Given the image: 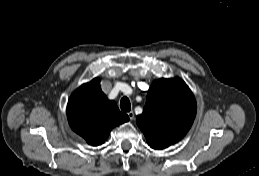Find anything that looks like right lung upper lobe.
<instances>
[{
	"label": "right lung upper lobe",
	"mask_w": 259,
	"mask_h": 176,
	"mask_svg": "<svg viewBox=\"0 0 259 176\" xmlns=\"http://www.w3.org/2000/svg\"><path fill=\"white\" fill-rule=\"evenodd\" d=\"M67 117L70 127L92 146L102 144L112 128L129 120L114 101L107 99L98 78L83 84L72 94Z\"/></svg>",
	"instance_id": "cb5924a9"
}]
</instances>
